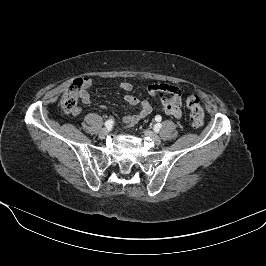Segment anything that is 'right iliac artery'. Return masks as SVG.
I'll use <instances>...</instances> for the list:
<instances>
[{
	"label": "right iliac artery",
	"instance_id": "obj_1",
	"mask_svg": "<svg viewBox=\"0 0 266 266\" xmlns=\"http://www.w3.org/2000/svg\"><path fill=\"white\" fill-rule=\"evenodd\" d=\"M114 124V121L112 119H109L105 122V127L110 129Z\"/></svg>",
	"mask_w": 266,
	"mask_h": 266
}]
</instances>
